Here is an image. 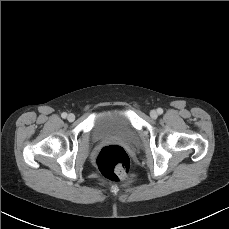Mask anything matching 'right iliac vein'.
Segmentation results:
<instances>
[{"label":"right iliac vein","instance_id":"obj_1","mask_svg":"<svg viewBox=\"0 0 229 229\" xmlns=\"http://www.w3.org/2000/svg\"><path fill=\"white\" fill-rule=\"evenodd\" d=\"M67 119H68L70 122H72V121H74V119H75V115L71 113V114L68 115Z\"/></svg>","mask_w":229,"mask_h":229}]
</instances>
